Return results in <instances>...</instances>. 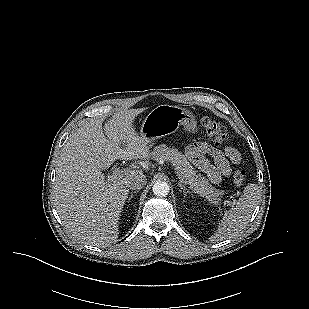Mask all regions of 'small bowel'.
<instances>
[{
    "mask_svg": "<svg viewBox=\"0 0 309 309\" xmlns=\"http://www.w3.org/2000/svg\"><path fill=\"white\" fill-rule=\"evenodd\" d=\"M187 152L193 162H196L201 167L213 184H218L224 177L230 176L232 172L231 165L238 164L241 160L239 150L229 145H226L223 150H219L207 143L199 142L190 146ZM203 154L210 155L214 160L215 166L204 161L202 159Z\"/></svg>",
    "mask_w": 309,
    "mask_h": 309,
    "instance_id": "small-bowel-1",
    "label": "small bowel"
}]
</instances>
